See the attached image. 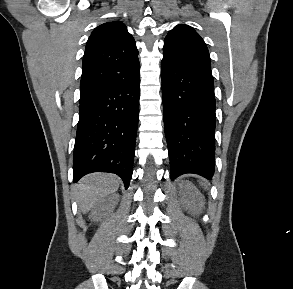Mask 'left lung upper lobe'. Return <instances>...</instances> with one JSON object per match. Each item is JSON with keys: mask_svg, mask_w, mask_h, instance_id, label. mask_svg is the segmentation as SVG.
<instances>
[{"mask_svg": "<svg viewBox=\"0 0 293 289\" xmlns=\"http://www.w3.org/2000/svg\"><path fill=\"white\" fill-rule=\"evenodd\" d=\"M163 59L197 69H211L205 42L192 27L185 24L177 25L166 36Z\"/></svg>", "mask_w": 293, "mask_h": 289, "instance_id": "left-lung-upper-lobe-1", "label": "left lung upper lobe"}]
</instances>
